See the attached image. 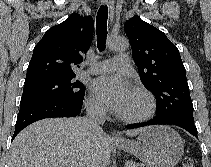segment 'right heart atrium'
<instances>
[{
	"label": "right heart atrium",
	"instance_id": "right-heart-atrium-1",
	"mask_svg": "<svg viewBox=\"0 0 211 167\" xmlns=\"http://www.w3.org/2000/svg\"><path fill=\"white\" fill-rule=\"evenodd\" d=\"M89 109L97 114H102L105 111L104 106L94 97H90L87 101Z\"/></svg>",
	"mask_w": 211,
	"mask_h": 167
}]
</instances>
